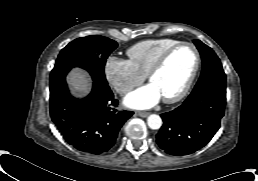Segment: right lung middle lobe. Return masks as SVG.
Returning <instances> with one entry per match:
<instances>
[{
  "instance_id": "right-lung-middle-lobe-1",
  "label": "right lung middle lobe",
  "mask_w": 258,
  "mask_h": 181,
  "mask_svg": "<svg viewBox=\"0 0 258 181\" xmlns=\"http://www.w3.org/2000/svg\"><path fill=\"white\" fill-rule=\"evenodd\" d=\"M117 46L114 40L104 36L77 38L61 50L55 66L69 69L81 67L90 73L94 81L105 82L106 59Z\"/></svg>"
}]
</instances>
